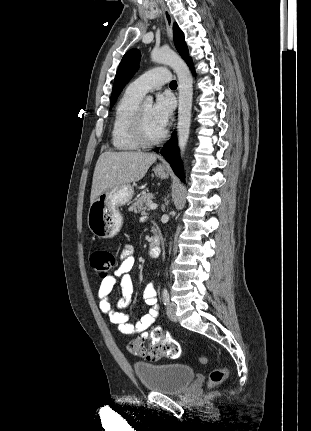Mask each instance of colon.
Wrapping results in <instances>:
<instances>
[{
  "label": "colon",
  "instance_id": "5ec220e1",
  "mask_svg": "<svg viewBox=\"0 0 311 431\" xmlns=\"http://www.w3.org/2000/svg\"><path fill=\"white\" fill-rule=\"evenodd\" d=\"M90 265L98 277L106 278L115 265V256L109 250L96 249L90 255ZM127 349L131 354L148 360H157L161 357L177 359L181 355L179 343L171 338L156 340L140 337L129 342ZM199 361L201 364H206L208 360L206 357H200ZM226 376L225 367L214 369L209 374V384L217 386L225 380Z\"/></svg>",
  "mask_w": 311,
  "mask_h": 431
}]
</instances>
